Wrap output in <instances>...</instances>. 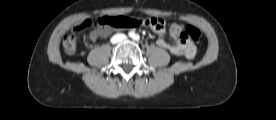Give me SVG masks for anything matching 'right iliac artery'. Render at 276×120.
Instances as JSON below:
<instances>
[{
	"label": "right iliac artery",
	"instance_id": "right-iliac-artery-1",
	"mask_svg": "<svg viewBox=\"0 0 276 120\" xmlns=\"http://www.w3.org/2000/svg\"><path fill=\"white\" fill-rule=\"evenodd\" d=\"M134 35H135V33H134V32H132V31H131V32H129V36H130V37H134Z\"/></svg>",
	"mask_w": 276,
	"mask_h": 120
}]
</instances>
